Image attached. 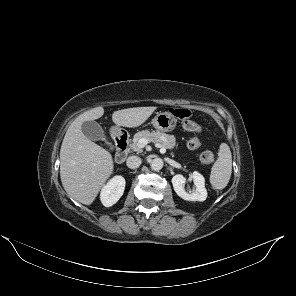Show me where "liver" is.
Returning a JSON list of instances; mask_svg holds the SVG:
<instances>
[{"label": "liver", "instance_id": "liver-1", "mask_svg": "<svg viewBox=\"0 0 296 296\" xmlns=\"http://www.w3.org/2000/svg\"><path fill=\"white\" fill-rule=\"evenodd\" d=\"M157 107H134L113 112L112 121L117 126L138 127ZM99 106L80 114L69 126L60 149V177L67 194L78 202L90 205L112 175V155L86 137L81 126L85 121L102 117Z\"/></svg>", "mask_w": 296, "mask_h": 296}]
</instances>
